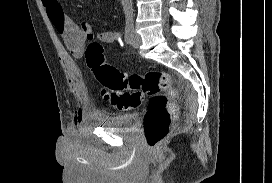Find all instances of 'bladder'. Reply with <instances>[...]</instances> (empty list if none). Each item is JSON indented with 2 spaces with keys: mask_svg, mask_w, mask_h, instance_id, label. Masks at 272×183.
Segmentation results:
<instances>
[{
  "mask_svg": "<svg viewBox=\"0 0 272 183\" xmlns=\"http://www.w3.org/2000/svg\"><path fill=\"white\" fill-rule=\"evenodd\" d=\"M140 120L137 113H124L113 116H103L97 121L106 129L122 132H133Z\"/></svg>",
  "mask_w": 272,
  "mask_h": 183,
  "instance_id": "bladder-1",
  "label": "bladder"
}]
</instances>
